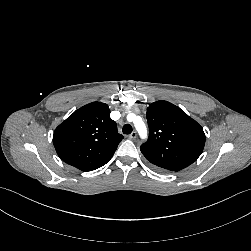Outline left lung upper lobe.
Here are the masks:
<instances>
[{
    "label": "left lung upper lobe",
    "instance_id": "obj_1",
    "mask_svg": "<svg viewBox=\"0 0 251 251\" xmlns=\"http://www.w3.org/2000/svg\"><path fill=\"white\" fill-rule=\"evenodd\" d=\"M149 138L141 152L156 168L177 172L192 164L205 145L203 128L183 110L167 101L147 108Z\"/></svg>",
    "mask_w": 251,
    "mask_h": 251
}]
</instances>
